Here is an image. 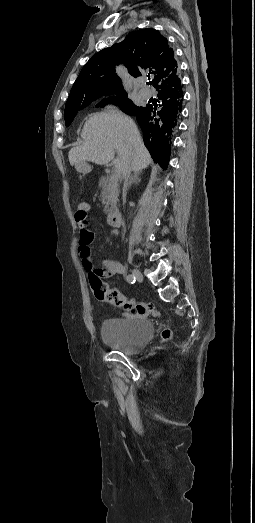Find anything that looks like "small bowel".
<instances>
[{
	"label": "small bowel",
	"instance_id": "c3829d8e",
	"mask_svg": "<svg viewBox=\"0 0 255 523\" xmlns=\"http://www.w3.org/2000/svg\"><path fill=\"white\" fill-rule=\"evenodd\" d=\"M80 238L78 255L81 259L83 268L90 272L97 273L102 278H111L117 274H122L125 271L124 266L113 259H103L102 268L94 269L90 258V244L94 239V233L88 228L87 224L79 225Z\"/></svg>",
	"mask_w": 255,
	"mask_h": 523
}]
</instances>
